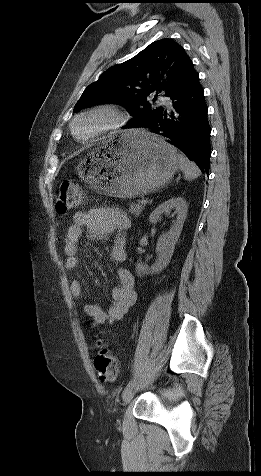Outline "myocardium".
<instances>
[{
    "label": "myocardium",
    "mask_w": 261,
    "mask_h": 476,
    "mask_svg": "<svg viewBox=\"0 0 261 476\" xmlns=\"http://www.w3.org/2000/svg\"><path fill=\"white\" fill-rule=\"evenodd\" d=\"M90 117H103L104 122L88 136H78L75 130L76 123ZM127 119V112L118 105L101 103L76 114L70 122L69 129L72 137L76 141L80 143H89L103 135L118 131L127 123Z\"/></svg>",
    "instance_id": "myocardium-1"
}]
</instances>
